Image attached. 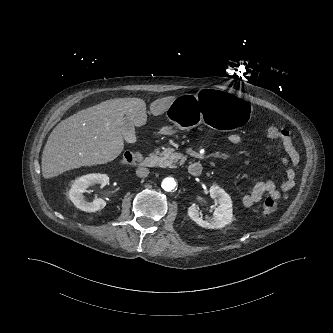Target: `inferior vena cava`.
<instances>
[{
	"instance_id": "602c4592",
	"label": "inferior vena cava",
	"mask_w": 333,
	"mask_h": 333,
	"mask_svg": "<svg viewBox=\"0 0 333 333\" xmlns=\"http://www.w3.org/2000/svg\"><path fill=\"white\" fill-rule=\"evenodd\" d=\"M149 174V169L144 167H139L136 169V175L140 178L147 177Z\"/></svg>"
}]
</instances>
